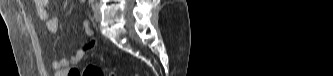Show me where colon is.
<instances>
[{
  "instance_id": "1",
  "label": "colon",
  "mask_w": 333,
  "mask_h": 76,
  "mask_svg": "<svg viewBox=\"0 0 333 76\" xmlns=\"http://www.w3.org/2000/svg\"><path fill=\"white\" fill-rule=\"evenodd\" d=\"M84 76H104V72L94 64H87L86 67L82 70ZM110 76H116L115 73L111 72Z\"/></svg>"
}]
</instances>
